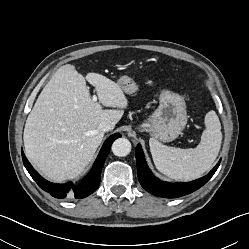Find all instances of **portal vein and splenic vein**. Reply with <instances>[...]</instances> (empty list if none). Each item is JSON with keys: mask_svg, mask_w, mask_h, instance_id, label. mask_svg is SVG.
Listing matches in <instances>:
<instances>
[{"mask_svg": "<svg viewBox=\"0 0 249 249\" xmlns=\"http://www.w3.org/2000/svg\"><path fill=\"white\" fill-rule=\"evenodd\" d=\"M92 101H93V102H96V101H97V96H96V95H93Z\"/></svg>", "mask_w": 249, "mask_h": 249, "instance_id": "18ae733b", "label": "portal vein and splenic vein"}]
</instances>
